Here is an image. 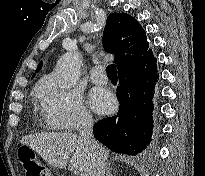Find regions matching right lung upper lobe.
Here are the masks:
<instances>
[{
	"mask_svg": "<svg viewBox=\"0 0 205 176\" xmlns=\"http://www.w3.org/2000/svg\"><path fill=\"white\" fill-rule=\"evenodd\" d=\"M103 45L109 53L116 55L114 63L118 71L151 50L145 31L135 18L126 13H112L107 17ZM41 68L42 62L35 72Z\"/></svg>",
	"mask_w": 205,
	"mask_h": 176,
	"instance_id": "obj_1",
	"label": "right lung upper lobe"
}]
</instances>
